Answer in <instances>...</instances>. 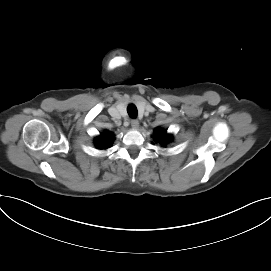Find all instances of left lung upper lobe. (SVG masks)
I'll use <instances>...</instances> for the list:
<instances>
[{
	"label": "left lung upper lobe",
	"mask_w": 271,
	"mask_h": 271,
	"mask_svg": "<svg viewBox=\"0 0 271 271\" xmlns=\"http://www.w3.org/2000/svg\"><path fill=\"white\" fill-rule=\"evenodd\" d=\"M153 138H154V140L158 141L161 144H166L168 142H172L173 141L172 135L167 134V131L163 130L161 128H157L154 131Z\"/></svg>",
	"instance_id": "obj_1"
}]
</instances>
